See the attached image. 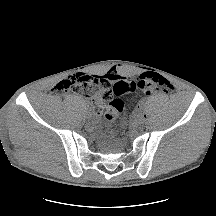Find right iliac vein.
Returning <instances> with one entry per match:
<instances>
[{"instance_id":"63e3f726","label":"right iliac vein","mask_w":216,"mask_h":216,"mask_svg":"<svg viewBox=\"0 0 216 216\" xmlns=\"http://www.w3.org/2000/svg\"><path fill=\"white\" fill-rule=\"evenodd\" d=\"M87 118H88V119H91V118H92L91 113L87 114Z\"/></svg>"}]
</instances>
